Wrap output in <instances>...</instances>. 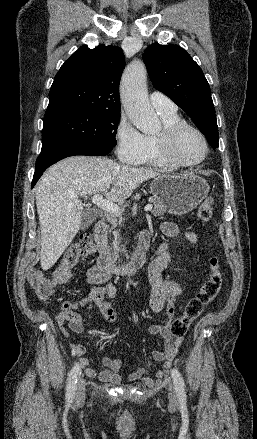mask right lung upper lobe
<instances>
[{"instance_id": "cb5924a9", "label": "right lung upper lobe", "mask_w": 257, "mask_h": 439, "mask_svg": "<svg viewBox=\"0 0 257 439\" xmlns=\"http://www.w3.org/2000/svg\"><path fill=\"white\" fill-rule=\"evenodd\" d=\"M124 67L119 47L79 48L55 76L45 118L78 109L120 111L119 83Z\"/></svg>"}]
</instances>
